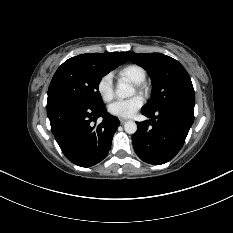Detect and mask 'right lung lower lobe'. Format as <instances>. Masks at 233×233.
I'll return each mask as SVG.
<instances>
[{
    "label": "right lung lower lobe",
    "instance_id": "1",
    "mask_svg": "<svg viewBox=\"0 0 233 233\" xmlns=\"http://www.w3.org/2000/svg\"><path fill=\"white\" fill-rule=\"evenodd\" d=\"M51 131L64 155L74 164L90 167L107 155L119 126L116 117L103 108H92L78 102L56 100L47 102ZM103 117L99 125H94Z\"/></svg>",
    "mask_w": 233,
    "mask_h": 233
}]
</instances>
